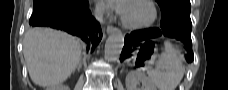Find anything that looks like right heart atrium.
<instances>
[{"mask_svg": "<svg viewBox=\"0 0 228 90\" xmlns=\"http://www.w3.org/2000/svg\"><path fill=\"white\" fill-rule=\"evenodd\" d=\"M95 12L97 13V14H102V12H103V9L101 8V7H99V6H96V8H95Z\"/></svg>", "mask_w": 228, "mask_h": 90, "instance_id": "right-heart-atrium-1", "label": "right heart atrium"}]
</instances>
